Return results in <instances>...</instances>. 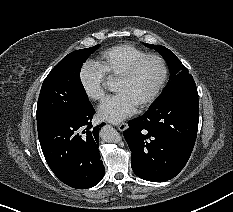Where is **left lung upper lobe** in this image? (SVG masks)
Wrapping results in <instances>:
<instances>
[{
    "label": "left lung upper lobe",
    "instance_id": "obj_1",
    "mask_svg": "<svg viewBox=\"0 0 233 212\" xmlns=\"http://www.w3.org/2000/svg\"><path fill=\"white\" fill-rule=\"evenodd\" d=\"M145 46L158 51L167 61L170 69V81L155 101H166L179 95L198 96L193 77L188 73V69L182 65L180 60L169 49L164 46L147 43H145Z\"/></svg>",
    "mask_w": 233,
    "mask_h": 212
}]
</instances>
